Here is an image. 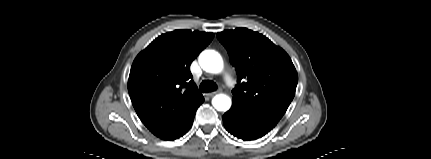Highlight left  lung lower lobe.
<instances>
[{
	"mask_svg": "<svg viewBox=\"0 0 431 159\" xmlns=\"http://www.w3.org/2000/svg\"><path fill=\"white\" fill-rule=\"evenodd\" d=\"M223 123L230 134L245 141L264 136L276 125L274 122L243 113L233 105L223 115Z\"/></svg>",
	"mask_w": 431,
	"mask_h": 159,
	"instance_id": "1",
	"label": "left lung lower lobe"
}]
</instances>
